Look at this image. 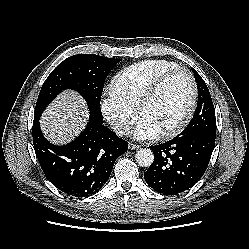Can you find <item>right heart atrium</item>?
<instances>
[{"label":"right heart atrium","mask_w":249,"mask_h":249,"mask_svg":"<svg viewBox=\"0 0 249 249\" xmlns=\"http://www.w3.org/2000/svg\"><path fill=\"white\" fill-rule=\"evenodd\" d=\"M103 117L117 134L127 133L137 119V109L118 98L112 90L106 91L100 101Z\"/></svg>","instance_id":"obj_1"}]
</instances>
